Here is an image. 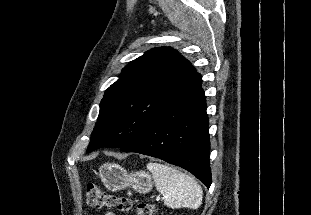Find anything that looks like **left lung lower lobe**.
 Here are the masks:
<instances>
[{
	"label": "left lung lower lobe",
	"instance_id": "obj_1",
	"mask_svg": "<svg viewBox=\"0 0 311 215\" xmlns=\"http://www.w3.org/2000/svg\"><path fill=\"white\" fill-rule=\"evenodd\" d=\"M196 74L190 84L166 103L124 152H137L182 167L211 185L206 100Z\"/></svg>",
	"mask_w": 311,
	"mask_h": 215
}]
</instances>
